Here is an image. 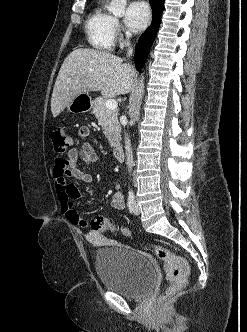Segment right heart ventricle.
<instances>
[{
	"label": "right heart ventricle",
	"instance_id": "e07e8e85",
	"mask_svg": "<svg viewBox=\"0 0 247 332\" xmlns=\"http://www.w3.org/2000/svg\"><path fill=\"white\" fill-rule=\"evenodd\" d=\"M85 32L93 48L101 51L113 49L116 35L115 19L101 5H97L89 14Z\"/></svg>",
	"mask_w": 247,
	"mask_h": 332
}]
</instances>
